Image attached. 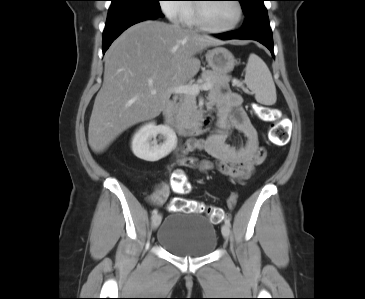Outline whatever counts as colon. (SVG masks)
Masks as SVG:
<instances>
[{
    "label": "colon",
    "instance_id": "5ec220e1",
    "mask_svg": "<svg viewBox=\"0 0 365 299\" xmlns=\"http://www.w3.org/2000/svg\"><path fill=\"white\" fill-rule=\"evenodd\" d=\"M259 116L262 120L272 123V126L269 130V139L271 142L279 145L285 144L288 140L289 132L284 126L278 110L271 107L260 106ZM172 188L179 194H186L190 190V185L183 174L177 173L172 179ZM234 204L235 196L233 195L230 198V206H233ZM169 209L172 211H182L188 213L206 212L213 223H220L224 218V211L220 207L205 206L199 201L187 200L184 198H175L171 202Z\"/></svg>",
    "mask_w": 365,
    "mask_h": 299
}]
</instances>
